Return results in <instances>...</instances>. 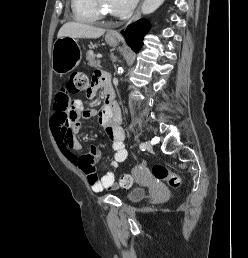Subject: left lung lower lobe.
<instances>
[{"instance_id":"left-lung-lower-lobe-1","label":"left lung lower lobe","mask_w":248,"mask_h":258,"mask_svg":"<svg viewBox=\"0 0 248 258\" xmlns=\"http://www.w3.org/2000/svg\"><path fill=\"white\" fill-rule=\"evenodd\" d=\"M148 30V22L145 20H138L137 22L129 25L122 34L132 49L138 52L143 45V37Z\"/></svg>"}]
</instances>
